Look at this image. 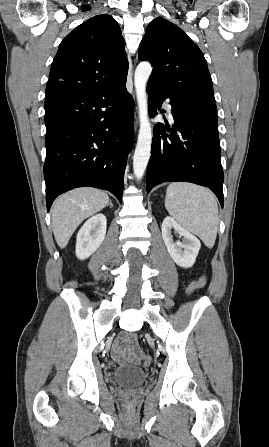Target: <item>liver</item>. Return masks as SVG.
Segmentation results:
<instances>
[{
	"label": "liver",
	"instance_id": "6515ba94",
	"mask_svg": "<svg viewBox=\"0 0 269 447\" xmlns=\"http://www.w3.org/2000/svg\"><path fill=\"white\" fill-rule=\"evenodd\" d=\"M105 192L95 188H77L56 200L52 210V227L59 247H66L72 233L83 220L107 206Z\"/></svg>",
	"mask_w": 269,
	"mask_h": 447
}]
</instances>
